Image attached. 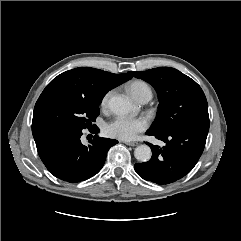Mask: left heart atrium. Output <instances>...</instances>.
<instances>
[{
  "label": "left heart atrium",
  "mask_w": 241,
  "mask_h": 241,
  "mask_svg": "<svg viewBox=\"0 0 241 241\" xmlns=\"http://www.w3.org/2000/svg\"><path fill=\"white\" fill-rule=\"evenodd\" d=\"M147 126L148 122L143 117L117 116L105 125L104 132L109 137L128 141L134 139Z\"/></svg>",
  "instance_id": "left-heart-atrium-1"
}]
</instances>
